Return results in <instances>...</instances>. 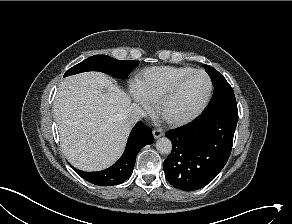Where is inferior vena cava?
<instances>
[{
  "instance_id": "1",
  "label": "inferior vena cava",
  "mask_w": 292,
  "mask_h": 224,
  "mask_svg": "<svg viewBox=\"0 0 292 224\" xmlns=\"http://www.w3.org/2000/svg\"><path fill=\"white\" fill-rule=\"evenodd\" d=\"M146 116L145 111L138 104H131L127 110V118L131 123H135Z\"/></svg>"
}]
</instances>
